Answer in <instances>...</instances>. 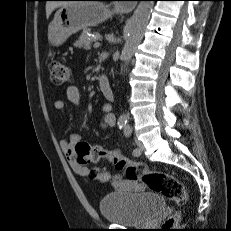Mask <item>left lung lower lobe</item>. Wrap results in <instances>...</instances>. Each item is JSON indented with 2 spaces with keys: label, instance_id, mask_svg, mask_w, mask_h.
Masks as SVG:
<instances>
[{
  "label": "left lung lower lobe",
  "instance_id": "obj_1",
  "mask_svg": "<svg viewBox=\"0 0 231 231\" xmlns=\"http://www.w3.org/2000/svg\"><path fill=\"white\" fill-rule=\"evenodd\" d=\"M100 1H112V0H100Z\"/></svg>",
  "mask_w": 231,
  "mask_h": 231
}]
</instances>
